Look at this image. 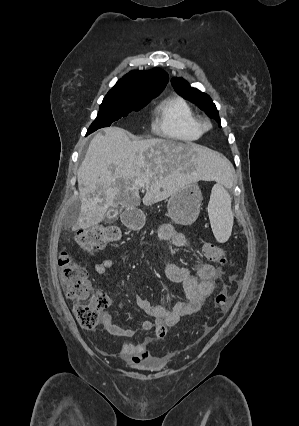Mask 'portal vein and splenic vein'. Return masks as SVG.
I'll list each match as a JSON object with an SVG mask.
<instances>
[{
    "label": "portal vein and splenic vein",
    "instance_id": "1",
    "mask_svg": "<svg viewBox=\"0 0 299 426\" xmlns=\"http://www.w3.org/2000/svg\"><path fill=\"white\" fill-rule=\"evenodd\" d=\"M140 187H141V188H144V187H145V184H144V183H141V184H140Z\"/></svg>",
    "mask_w": 299,
    "mask_h": 426
}]
</instances>
